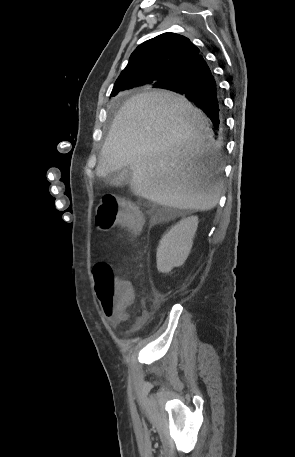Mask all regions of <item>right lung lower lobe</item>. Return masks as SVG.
Masks as SVG:
<instances>
[{"instance_id": "1", "label": "right lung lower lobe", "mask_w": 295, "mask_h": 457, "mask_svg": "<svg viewBox=\"0 0 295 457\" xmlns=\"http://www.w3.org/2000/svg\"><path fill=\"white\" fill-rule=\"evenodd\" d=\"M155 87L184 95L207 114L215 127L221 125L223 102L220 89L202 55L184 66L176 79Z\"/></svg>"}]
</instances>
